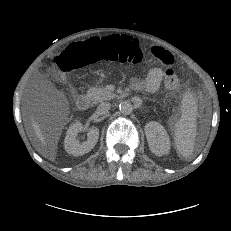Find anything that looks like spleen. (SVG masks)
I'll return each mask as SVG.
<instances>
[{"label":"spleen","instance_id":"obj_1","mask_svg":"<svg viewBox=\"0 0 231 231\" xmlns=\"http://www.w3.org/2000/svg\"><path fill=\"white\" fill-rule=\"evenodd\" d=\"M197 104L191 91L184 93L181 105V117L174 124V143L178 154L187 159L194 151L196 138Z\"/></svg>","mask_w":231,"mask_h":231}]
</instances>
